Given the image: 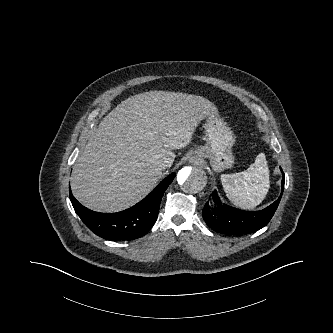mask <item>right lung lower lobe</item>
<instances>
[{
  "instance_id": "obj_1",
  "label": "right lung lower lobe",
  "mask_w": 333,
  "mask_h": 333,
  "mask_svg": "<svg viewBox=\"0 0 333 333\" xmlns=\"http://www.w3.org/2000/svg\"><path fill=\"white\" fill-rule=\"evenodd\" d=\"M176 173L167 176L147 197L118 213L94 212L82 206L69 190L75 212L96 235L107 240H133L144 236L157 220L162 196Z\"/></svg>"
}]
</instances>
